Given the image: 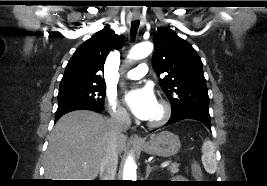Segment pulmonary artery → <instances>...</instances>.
I'll use <instances>...</instances> for the list:
<instances>
[{
	"label": "pulmonary artery",
	"mask_w": 267,
	"mask_h": 186,
	"mask_svg": "<svg viewBox=\"0 0 267 186\" xmlns=\"http://www.w3.org/2000/svg\"><path fill=\"white\" fill-rule=\"evenodd\" d=\"M148 73V65L147 64H139L134 69L127 72L126 77L131 80H137L143 77Z\"/></svg>",
	"instance_id": "obj_1"
}]
</instances>
